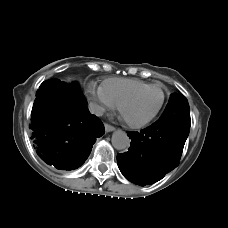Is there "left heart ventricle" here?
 I'll use <instances>...</instances> for the list:
<instances>
[{"instance_id":"1","label":"left heart ventricle","mask_w":228,"mask_h":228,"mask_svg":"<svg viewBox=\"0 0 228 228\" xmlns=\"http://www.w3.org/2000/svg\"><path fill=\"white\" fill-rule=\"evenodd\" d=\"M161 100V93L156 89L148 90L126 103L123 115L130 121H141L150 116Z\"/></svg>"}]
</instances>
